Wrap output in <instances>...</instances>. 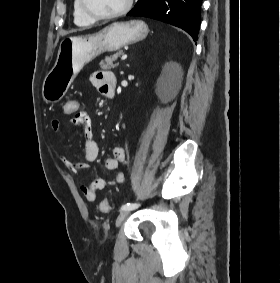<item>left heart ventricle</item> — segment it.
Wrapping results in <instances>:
<instances>
[{"mask_svg": "<svg viewBox=\"0 0 280 283\" xmlns=\"http://www.w3.org/2000/svg\"><path fill=\"white\" fill-rule=\"evenodd\" d=\"M90 10L105 15L117 12L125 5L127 0H86Z\"/></svg>", "mask_w": 280, "mask_h": 283, "instance_id": "obj_1", "label": "left heart ventricle"}]
</instances>
